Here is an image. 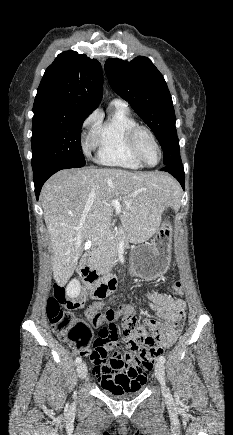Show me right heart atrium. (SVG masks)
<instances>
[{"instance_id": "1", "label": "right heart atrium", "mask_w": 233, "mask_h": 435, "mask_svg": "<svg viewBox=\"0 0 233 435\" xmlns=\"http://www.w3.org/2000/svg\"><path fill=\"white\" fill-rule=\"evenodd\" d=\"M96 121H97V116L96 114L93 113L86 118V120L84 121V126L85 127L92 126L93 124L96 123ZM86 151H88V146L86 147Z\"/></svg>"}]
</instances>
